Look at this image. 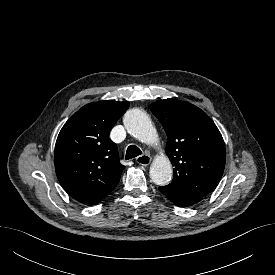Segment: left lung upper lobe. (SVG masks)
Instances as JSON below:
<instances>
[{
  "label": "left lung upper lobe",
  "instance_id": "1",
  "mask_svg": "<svg viewBox=\"0 0 275 275\" xmlns=\"http://www.w3.org/2000/svg\"><path fill=\"white\" fill-rule=\"evenodd\" d=\"M149 108L167 136L166 154L174 166L170 194L206 196L218 185L225 167V144L212 119L193 104L164 99Z\"/></svg>",
  "mask_w": 275,
  "mask_h": 275
}]
</instances>
